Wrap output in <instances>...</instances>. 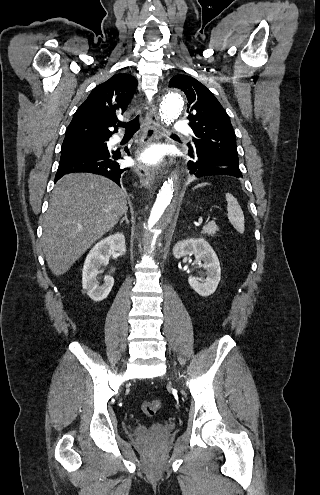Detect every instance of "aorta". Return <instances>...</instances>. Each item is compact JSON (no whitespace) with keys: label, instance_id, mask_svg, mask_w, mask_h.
<instances>
[{"label":"aorta","instance_id":"1","mask_svg":"<svg viewBox=\"0 0 320 495\" xmlns=\"http://www.w3.org/2000/svg\"><path fill=\"white\" fill-rule=\"evenodd\" d=\"M183 108V94L179 89H171L166 92L163 99L160 115L166 124L174 122ZM175 186L172 179L164 182L149 216L142 226L144 244L149 254L156 252L158 242L164 239L165 231L171 226L177 204L174 203ZM158 233V234H157ZM154 235L157 236L154 240Z\"/></svg>","mask_w":320,"mask_h":495}]
</instances>
